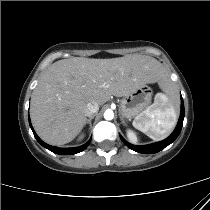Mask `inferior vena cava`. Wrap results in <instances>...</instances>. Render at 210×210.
<instances>
[{"label":"inferior vena cava","instance_id":"obj_1","mask_svg":"<svg viewBox=\"0 0 210 210\" xmlns=\"http://www.w3.org/2000/svg\"><path fill=\"white\" fill-rule=\"evenodd\" d=\"M87 116L90 117L93 114L97 113L99 110V105L96 102H90L87 104Z\"/></svg>","mask_w":210,"mask_h":210}]
</instances>
